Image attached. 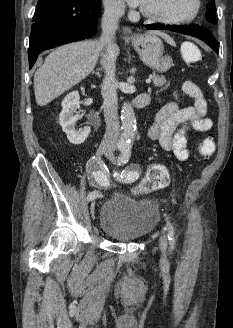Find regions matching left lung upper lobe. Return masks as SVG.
I'll return each instance as SVG.
<instances>
[{
	"instance_id": "5c2ea615",
	"label": "left lung upper lobe",
	"mask_w": 233,
	"mask_h": 328,
	"mask_svg": "<svg viewBox=\"0 0 233 328\" xmlns=\"http://www.w3.org/2000/svg\"><path fill=\"white\" fill-rule=\"evenodd\" d=\"M206 18L209 22L213 24H217L215 19V1L211 0V2L207 6Z\"/></svg>"
}]
</instances>
